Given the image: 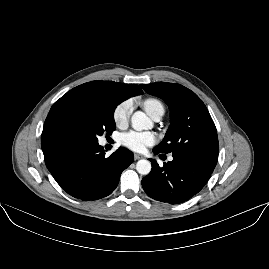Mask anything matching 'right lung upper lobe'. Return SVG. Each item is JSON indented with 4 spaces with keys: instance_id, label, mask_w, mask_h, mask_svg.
Wrapping results in <instances>:
<instances>
[{
    "instance_id": "obj_1",
    "label": "right lung upper lobe",
    "mask_w": 269,
    "mask_h": 269,
    "mask_svg": "<svg viewBox=\"0 0 269 269\" xmlns=\"http://www.w3.org/2000/svg\"><path fill=\"white\" fill-rule=\"evenodd\" d=\"M140 94H143V91L136 84L91 81L71 89L60 99L75 97L88 100H106L120 104L128 98Z\"/></svg>"
}]
</instances>
